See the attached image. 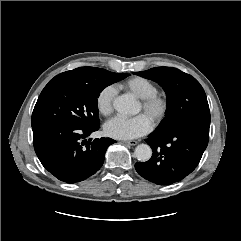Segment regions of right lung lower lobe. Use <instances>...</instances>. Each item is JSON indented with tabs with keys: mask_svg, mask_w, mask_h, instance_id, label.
<instances>
[{
	"mask_svg": "<svg viewBox=\"0 0 241 241\" xmlns=\"http://www.w3.org/2000/svg\"><path fill=\"white\" fill-rule=\"evenodd\" d=\"M99 127L61 122L32 126L35 152L44 168L60 181L85 180L101 168L107 147L116 142L111 138L84 140Z\"/></svg>",
	"mask_w": 241,
	"mask_h": 241,
	"instance_id": "98d812e1",
	"label": "right lung lower lobe"
}]
</instances>
